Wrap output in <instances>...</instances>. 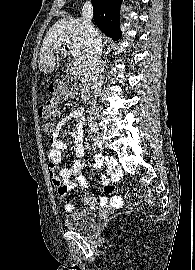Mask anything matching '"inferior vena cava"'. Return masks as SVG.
<instances>
[{
    "label": "inferior vena cava",
    "mask_w": 195,
    "mask_h": 270,
    "mask_svg": "<svg viewBox=\"0 0 195 270\" xmlns=\"http://www.w3.org/2000/svg\"><path fill=\"white\" fill-rule=\"evenodd\" d=\"M93 7L90 0H87L82 8V20L87 33V49L85 53L86 64L88 66L89 76L91 80L92 101L91 107L87 111L90 120V128L95 129L92 115L97 114L96 98L101 91L104 78V65L101 58L102 41L97 30L92 25Z\"/></svg>",
    "instance_id": "602c4592"
}]
</instances>
